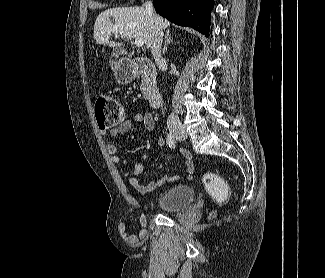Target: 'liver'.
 <instances>
[{
    "mask_svg": "<svg viewBox=\"0 0 325 278\" xmlns=\"http://www.w3.org/2000/svg\"><path fill=\"white\" fill-rule=\"evenodd\" d=\"M170 22L161 16L153 19L143 6L117 7L101 12L94 24L93 37L96 44L119 47L122 44L110 40L113 33H119L122 39L142 38L146 47L152 46L156 26L160 29L169 27Z\"/></svg>",
    "mask_w": 325,
    "mask_h": 278,
    "instance_id": "liver-1",
    "label": "liver"
}]
</instances>
